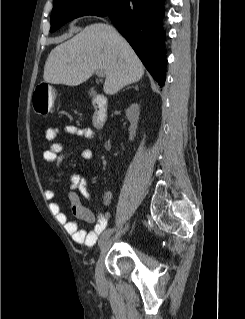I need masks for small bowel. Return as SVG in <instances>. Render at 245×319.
Instances as JSON below:
<instances>
[{
    "label": "small bowel",
    "instance_id": "small-bowel-1",
    "mask_svg": "<svg viewBox=\"0 0 245 319\" xmlns=\"http://www.w3.org/2000/svg\"><path fill=\"white\" fill-rule=\"evenodd\" d=\"M64 131L67 134L77 135L88 141L95 140V133L88 127H77L74 125H67L64 127ZM60 133V128L50 127L45 132V140L50 143V147L43 153V161L46 164H54L60 166L63 161L68 157L63 144L55 142L57 136ZM80 158L88 160L91 158L92 153L88 148L83 149L80 152ZM90 179L73 172L70 175V188L69 200L71 203V211L76 220H69L67 214L62 211L58 202L51 201L50 209L56 216L57 220L64 225L65 230L70 234L73 241L79 244H85L87 246L94 245L101 233L105 230L111 214L104 212L99 208L89 209L85 207L76 191H78L86 199H91V192L89 190ZM44 196L48 200L54 198V192L51 189H46ZM111 192H105L103 195V205L108 206L111 202ZM79 221H84L92 224L91 230H86L80 227Z\"/></svg>",
    "mask_w": 245,
    "mask_h": 319
}]
</instances>
